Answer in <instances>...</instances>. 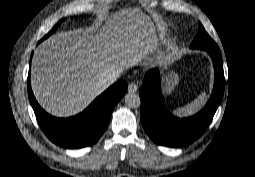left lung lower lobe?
<instances>
[{
    "instance_id": "obj_1",
    "label": "left lung lower lobe",
    "mask_w": 255,
    "mask_h": 177,
    "mask_svg": "<svg viewBox=\"0 0 255 177\" xmlns=\"http://www.w3.org/2000/svg\"><path fill=\"white\" fill-rule=\"evenodd\" d=\"M215 69V87L206 107L188 119H179L169 113L160 88L159 71H149L140 89L141 122L149 137L157 144L178 147L197 139L209 125L223 95L224 79L218 48L205 49Z\"/></svg>"
}]
</instances>
